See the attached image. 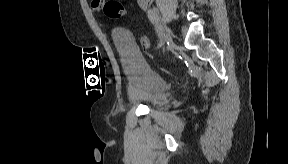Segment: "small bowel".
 Masks as SVG:
<instances>
[{"label": "small bowel", "instance_id": "c3829d8e", "mask_svg": "<svg viewBox=\"0 0 288 164\" xmlns=\"http://www.w3.org/2000/svg\"><path fill=\"white\" fill-rule=\"evenodd\" d=\"M141 6L144 8V7L146 6V4L143 2V3L141 4Z\"/></svg>", "mask_w": 288, "mask_h": 164}]
</instances>
